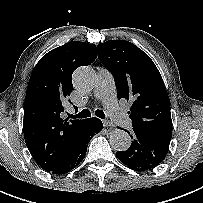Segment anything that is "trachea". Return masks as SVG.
Masks as SVG:
<instances>
[{
    "label": "trachea",
    "instance_id": "trachea-1",
    "mask_svg": "<svg viewBox=\"0 0 203 203\" xmlns=\"http://www.w3.org/2000/svg\"><path fill=\"white\" fill-rule=\"evenodd\" d=\"M91 115V112L88 109H84L82 110L80 113L76 114V115H69L70 118H78V119H83V118H87ZM95 115L99 118L104 119L105 118V114L102 110H96L95 111Z\"/></svg>",
    "mask_w": 203,
    "mask_h": 203
}]
</instances>
